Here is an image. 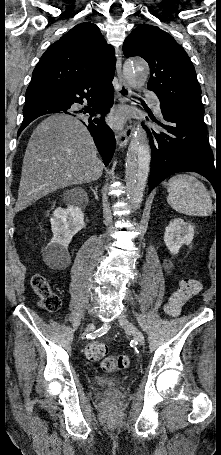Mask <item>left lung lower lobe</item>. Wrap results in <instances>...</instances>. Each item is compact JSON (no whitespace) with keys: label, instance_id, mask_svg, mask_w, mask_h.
<instances>
[{"label":"left lung lower lobe","instance_id":"obj_1","mask_svg":"<svg viewBox=\"0 0 221 455\" xmlns=\"http://www.w3.org/2000/svg\"><path fill=\"white\" fill-rule=\"evenodd\" d=\"M165 123L150 118L163 130L149 132L151 171L149 192L168 176L183 171L197 172L206 177L216 192L221 189V169L214 166L213 152L207 141L203 118L171 108L161 107Z\"/></svg>","mask_w":221,"mask_h":455}]
</instances>
